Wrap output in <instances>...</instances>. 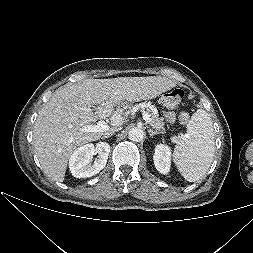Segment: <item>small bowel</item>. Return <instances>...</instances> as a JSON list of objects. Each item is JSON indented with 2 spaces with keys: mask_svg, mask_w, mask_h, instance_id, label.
Segmentation results:
<instances>
[{
  "mask_svg": "<svg viewBox=\"0 0 253 253\" xmlns=\"http://www.w3.org/2000/svg\"><path fill=\"white\" fill-rule=\"evenodd\" d=\"M165 116H166L167 121H169L170 123L174 122L175 115L173 112H168Z\"/></svg>",
  "mask_w": 253,
  "mask_h": 253,
  "instance_id": "1",
  "label": "small bowel"
}]
</instances>
